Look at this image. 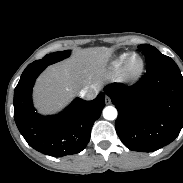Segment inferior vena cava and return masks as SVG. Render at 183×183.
Returning <instances> with one entry per match:
<instances>
[{
	"label": "inferior vena cava",
	"mask_w": 183,
	"mask_h": 183,
	"mask_svg": "<svg viewBox=\"0 0 183 183\" xmlns=\"http://www.w3.org/2000/svg\"><path fill=\"white\" fill-rule=\"evenodd\" d=\"M98 94V88L95 86L86 87L79 92V95L86 100L94 99Z\"/></svg>",
	"instance_id": "602c4592"
}]
</instances>
